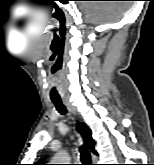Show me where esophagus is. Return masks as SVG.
Listing matches in <instances>:
<instances>
[{
	"mask_svg": "<svg viewBox=\"0 0 154 165\" xmlns=\"http://www.w3.org/2000/svg\"><path fill=\"white\" fill-rule=\"evenodd\" d=\"M63 103L65 104V106L68 108V110H69L71 113H75V109H74L73 106L69 103L68 100L63 99Z\"/></svg>",
	"mask_w": 154,
	"mask_h": 165,
	"instance_id": "34e87169",
	"label": "esophagus"
}]
</instances>
